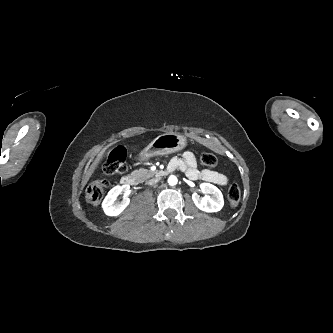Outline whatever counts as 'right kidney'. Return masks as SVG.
<instances>
[{
	"instance_id": "right-kidney-1",
	"label": "right kidney",
	"mask_w": 333,
	"mask_h": 333,
	"mask_svg": "<svg viewBox=\"0 0 333 333\" xmlns=\"http://www.w3.org/2000/svg\"><path fill=\"white\" fill-rule=\"evenodd\" d=\"M129 191V185H117L113 187L102 202V208L105 214L108 216L119 215L129 205L130 200L126 196ZM120 194H124L125 196L121 202L117 203L116 199Z\"/></svg>"
}]
</instances>
